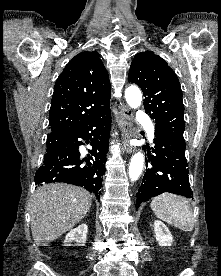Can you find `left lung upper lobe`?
Segmentation results:
<instances>
[{
    "label": "left lung upper lobe",
    "mask_w": 221,
    "mask_h": 276,
    "mask_svg": "<svg viewBox=\"0 0 221 276\" xmlns=\"http://www.w3.org/2000/svg\"><path fill=\"white\" fill-rule=\"evenodd\" d=\"M128 78L142 89L144 108L155 120V131L185 144L182 90L168 64L152 51L138 53L131 63Z\"/></svg>",
    "instance_id": "1"
}]
</instances>
